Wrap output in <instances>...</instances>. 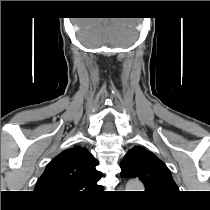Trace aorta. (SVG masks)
Wrapping results in <instances>:
<instances>
[{"instance_id":"762f6f07","label":"aorta","mask_w":210,"mask_h":210,"mask_svg":"<svg viewBox=\"0 0 210 210\" xmlns=\"http://www.w3.org/2000/svg\"><path fill=\"white\" fill-rule=\"evenodd\" d=\"M128 191H143L144 186L140 181L132 180L127 184Z\"/></svg>"}]
</instances>
